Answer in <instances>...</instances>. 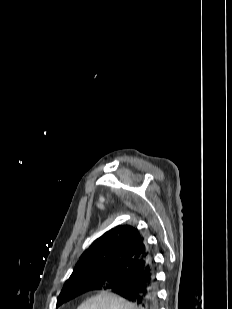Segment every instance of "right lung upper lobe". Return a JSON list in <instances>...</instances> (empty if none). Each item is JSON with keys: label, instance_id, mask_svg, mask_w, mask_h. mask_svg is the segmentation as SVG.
Instances as JSON below:
<instances>
[{"label": "right lung upper lobe", "instance_id": "1", "mask_svg": "<svg viewBox=\"0 0 232 309\" xmlns=\"http://www.w3.org/2000/svg\"><path fill=\"white\" fill-rule=\"evenodd\" d=\"M150 258L139 230L130 225H119L105 232L83 252L67 281L86 272L123 274L129 264H137L139 268Z\"/></svg>", "mask_w": 232, "mask_h": 309}]
</instances>
